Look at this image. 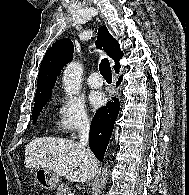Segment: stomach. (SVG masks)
Returning <instances> with one entry per match:
<instances>
[{"mask_svg":"<svg viewBox=\"0 0 189 195\" xmlns=\"http://www.w3.org/2000/svg\"><path fill=\"white\" fill-rule=\"evenodd\" d=\"M35 180L44 189L53 190L59 185V176L48 168L35 170Z\"/></svg>","mask_w":189,"mask_h":195,"instance_id":"0dacf381","label":"stomach"}]
</instances>
